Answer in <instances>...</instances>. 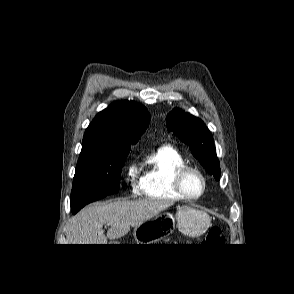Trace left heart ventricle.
I'll return each mask as SVG.
<instances>
[{
  "instance_id": "obj_1",
  "label": "left heart ventricle",
  "mask_w": 294,
  "mask_h": 294,
  "mask_svg": "<svg viewBox=\"0 0 294 294\" xmlns=\"http://www.w3.org/2000/svg\"><path fill=\"white\" fill-rule=\"evenodd\" d=\"M183 184L185 191L191 196L198 195L202 188L200 177L192 172L185 176Z\"/></svg>"
}]
</instances>
